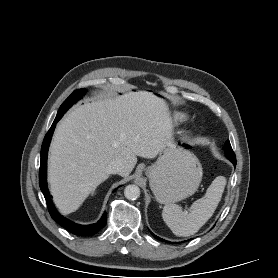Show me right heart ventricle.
<instances>
[{
	"mask_svg": "<svg viewBox=\"0 0 278 278\" xmlns=\"http://www.w3.org/2000/svg\"><path fill=\"white\" fill-rule=\"evenodd\" d=\"M177 119L180 120V121H183V120L186 119V116L184 114H178Z\"/></svg>",
	"mask_w": 278,
	"mask_h": 278,
	"instance_id": "obj_1",
	"label": "right heart ventricle"
}]
</instances>
